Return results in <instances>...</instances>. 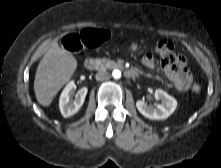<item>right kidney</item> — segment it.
I'll return each instance as SVG.
<instances>
[{
  "mask_svg": "<svg viewBox=\"0 0 221 168\" xmlns=\"http://www.w3.org/2000/svg\"><path fill=\"white\" fill-rule=\"evenodd\" d=\"M76 85L73 81L69 82L61 93L59 100V108L63 117L67 118L76 114L82 107L88 89L82 87L77 92L75 100H71V95L74 93Z\"/></svg>",
  "mask_w": 221,
  "mask_h": 168,
  "instance_id": "1",
  "label": "right kidney"
}]
</instances>
